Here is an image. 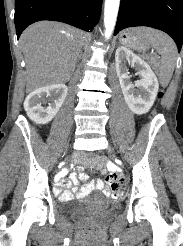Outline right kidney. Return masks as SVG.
<instances>
[{
    "label": "right kidney",
    "instance_id": "ca27d5eb",
    "mask_svg": "<svg viewBox=\"0 0 183 246\" xmlns=\"http://www.w3.org/2000/svg\"><path fill=\"white\" fill-rule=\"evenodd\" d=\"M67 91L68 88L63 83L44 86L32 91L24 101L27 116L36 124L49 123L62 106Z\"/></svg>",
    "mask_w": 183,
    "mask_h": 246
}]
</instances>
